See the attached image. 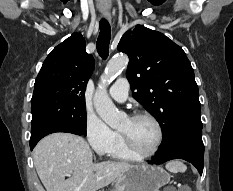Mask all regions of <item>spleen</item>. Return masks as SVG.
Returning <instances> with one entry per match:
<instances>
[{
  "label": "spleen",
  "mask_w": 233,
  "mask_h": 191,
  "mask_svg": "<svg viewBox=\"0 0 233 191\" xmlns=\"http://www.w3.org/2000/svg\"><path fill=\"white\" fill-rule=\"evenodd\" d=\"M166 169L172 173H184L186 166L180 161H170L166 164Z\"/></svg>",
  "instance_id": "1"
}]
</instances>
